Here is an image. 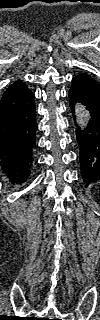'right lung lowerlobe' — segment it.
Wrapping results in <instances>:
<instances>
[{"instance_id":"98d812e1","label":"right lung lower lobe","mask_w":100,"mask_h":320,"mask_svg":"<svg viewBox=\"0 0 100 320\" xmlns=\"http://www.w3.org/2000/svg\"><path fill=\"white\" fill-rule=\"evenodd\" d=\"M34 98L27 87L0 100V162L11 180L24 182L31 173L37 130Z\"/></svg>"}]
</instances>
